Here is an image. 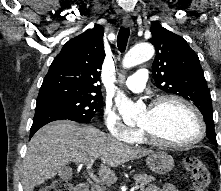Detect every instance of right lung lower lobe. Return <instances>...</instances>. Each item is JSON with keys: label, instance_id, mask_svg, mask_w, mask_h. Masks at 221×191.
Instances as JSON below:
<instances>
[{"label": "right lung lower lobe", "instance_id": "1", "mask_svg": "<svg viewBox=\"0 0 221 191\" xmlns=\"http://www.w3.org/2000/svg\"><path fill=\"white\" fill-rule=\"evenodd\" d=\"M62 119H68V118L65 115L61 114L58 110H55L54 108L46 104H37L33 125L30 130V138L39 128H41L45 124Z\"/></svg>", "mask_w": 221, "mask_h": 191}]
</instances>
